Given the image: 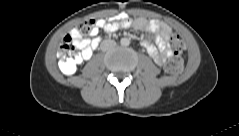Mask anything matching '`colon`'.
<instances>
[{"mask_svg":"<svg viewBox=\"0 0 239 136\" xmlns=\"http://www.w3.org/2000/svg\"><path fill=\"white\" fill-rule=\"evenodd\" d=\"M96 28V20L87 19L80 22L76 31L81 36L92 35ZM172 48L175 51V56L165 64V71L171 75L180 74L183 70V58L181 53L184 49V42L179 35H173ZM59 66L63 72L71 74L75 71L80 62L79 47L73 41L72 35L66 36L58 49Z\"/></svg>","mask_w":239,"mask_h":136,"instance_id":"colon-1","label":"colon"}]
</instances>
